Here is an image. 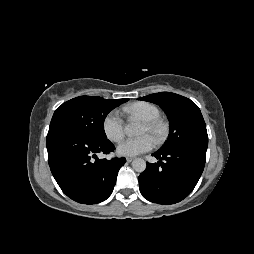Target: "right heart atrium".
I'll return each mask as SVG.
<instances>
[{"label": "right heart atrium", "mask_w": 254, "mask_h": 254, "mask_svg": "<svg viewBox=\"0 0 254 254\" xmlns=\"http://www.w3.org/2000/svg\"><path fill=\"white\" fill-rule=\"evenodd\" d=\"M105 136L112 142H120L125 134L124 123L118 111L109 112L102 121Z\"/></svg>", "instance_id": "right-heart-atrium-1"}]
</instances>
